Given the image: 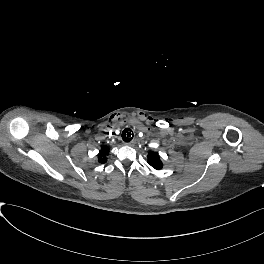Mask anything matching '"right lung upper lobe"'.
I'll use <instances>...</instances> for the list:
<instances>
[{
	"label": "right lung upper lobe",
	"mask_w": 264,
	"mask_h": 264,
	"mask_svg": "<svg viewBox=\"0 0 264 264\" xmlns=\"http://www.w3.org/2000/svg\"><path fill=\"white\" fill-rule=\"evenodd\" d=\"M108 153H109V149H108L106 146L102 147V148H101V151H100V153H99V155H98V161H99L100 163H105V162H107L106 155H107Z\"/></svg>",
	"instance_id": "1"
}]
</instances>
